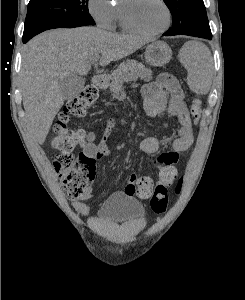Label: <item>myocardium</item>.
Here are the masks:
<instances>
[{
    "instance_id": "1",
    "label": "myocardium",
    "mask_w": 245,
    "mask_h": 300,
    "mask_svg": "<svg viewBox=\"0 0 245 300\" xmlns=\"http://www.w3.org/2000/svg\"><path fill=\"white\" fill-rule=\"evenodd\" d=\"M158 1L161 3V5L163 6V8L166 12V23L162 28L155 30V31H149V30H145V29L141 28L136 23H134L132 21V19L129 17L127 9L124 5H122L120 7V21H121L122 26L130 32H134V33L141 34L144 36H158V35L164 33L165 31H167L169 29V27L171 25V21H172L171 10L165 0H158Z\"/></svg>"
}]
</instances>
